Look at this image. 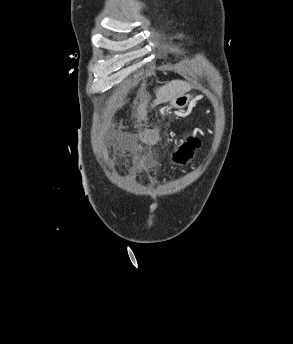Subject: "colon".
<instances>
[{"instance_id":"5ec220e1","label":"colon","mask_w":293,"mask_h":344,"mask_svg":"<svg viewBox=\"0 0 293 344\" xmlns=\"http://www.w3.org/2000/svg\"><path fill=\"white\" fill-rule=\"evenodd\" d=\"M120 137H129V132H121L119 134ZM200 143L199 140L195 137L189 136L187 137L179 147L177 153V160L179 162H184L194 154L195 150L199 147Z\"/></svg>"}]
</instances>
